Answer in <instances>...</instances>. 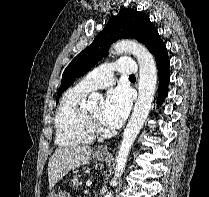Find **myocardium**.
Here are the masks:
<instances>
[{
    "label": "myocardium",
    "mask_w": 209,
    "mask_h": 197,
    "mask_svg": "<svg viewBox=\"0 0 209 197\" xmlns=\"http://www.w3.org/2000/svg\"><path fill=\"white\" fill-rule=\"evenodd\" d=\"M85 117L87 127L93 135L106 132L100 120L93 116L87 108H85Z\"/></svg>",
    "instance_id": "obj_1"
}]
</instances>
